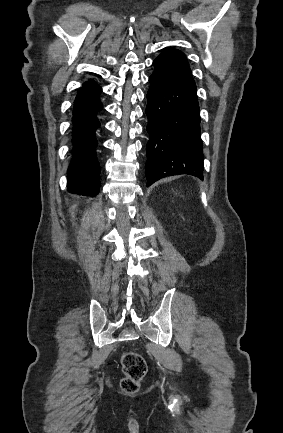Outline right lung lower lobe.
<instances>
[{
	"label": "right lung lower lobe",
	"instance_id": "1",
	"mask_svg": "<svg viewBox=\"0 0 283 433\" xmlns=\"http://www.w3.org/2000/svg\"><path fill=\"white\" fill-rule=\"evenodd\" d=\"M101 88L92 80L86 82L74 101L73 159L68 168V190L72 193L95 196L99 192L100 167L96 159V118L102 104L98 98Z\"/></svg>",
	"mask_w": 283,
	"mask_h": 433
}]
</instances>
